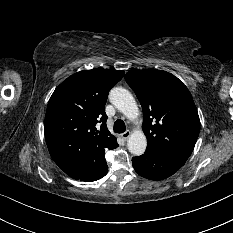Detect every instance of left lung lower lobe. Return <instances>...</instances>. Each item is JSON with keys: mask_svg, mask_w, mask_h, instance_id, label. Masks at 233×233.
I'll return each mask as SVG.
<instances>
[{"mask_svg": "<svg viewBox=\"0 0 233 233\" xmlns=\"http://www.w3.org/2000/svg\"><path fill=\"white\" fill-rule=\"evenodd\" d=\"M186 160L172 154L146 149L141 156L133 157L132 165L139 175L151 180H162L173 175Z\"/></svg>", "mask_w": 233, "mask_h": 233, "instance_id": "1", "label": "left lung lower lobe"}]
</instances>
